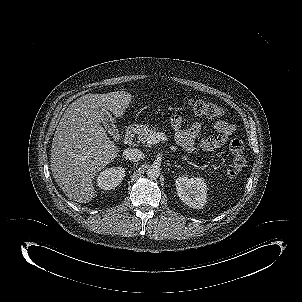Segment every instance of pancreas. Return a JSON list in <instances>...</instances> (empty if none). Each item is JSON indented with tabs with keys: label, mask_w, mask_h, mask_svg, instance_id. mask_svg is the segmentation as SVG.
<instances>
[{
	"label": "pancreas",
	"mask_w": 302,
	"mask_h": 302,
	"mask_svg": "<svg viewBox=\"0 0 302 302\" xmlns=\"http://www.w3.org/2000/svg\"><path fill=\"white\" fill-rule=\"evenodd\" d=\"M157 130L158 129L156 127H151L140 131L137 136L138 142H141L143 144H148L149 137L155 134Z\"/></svg>",
	"instance_id": "pancreas-1"
}]
</instances>
